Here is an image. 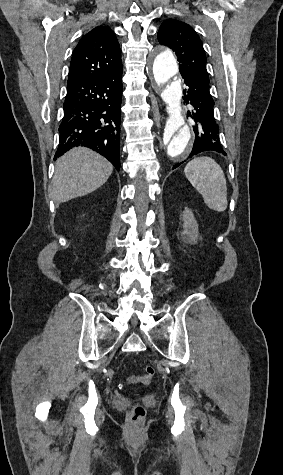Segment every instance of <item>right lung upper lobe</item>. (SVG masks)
I'll return each instance as SVG.
<instances>
[{
    "label": "right lung upper lobe",
    "instance_id": "cb5924a9",
    "mask_svg": "<svg viewBox=\"0 0 283 475\" xmlns=\"http://www.w3.org/2000/svg\"><path fill=\"white\" fill-rule=\"evenodd\" d=\"M121 71V50L115 33L101 25L84 35L74 49L68 83L100 79Z\"/></svg>",
    "mask_w": 283,
    "mask_h": 475
}]
</instances>
